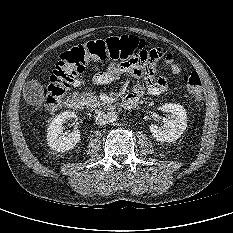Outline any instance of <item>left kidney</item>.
Here are the masks:
<instances>
[{
  "label": "left kidney",
  "mask_w": 233,
  "mask_h": 233,
  "mask_svg": "<svg viewBox=\"0 0 233 233\" xmlns=\"http://www.w3.org/2000/svg\"><path fill=\"white\" fill-rule=\"evenodd\" d=\"M160 109L170 115L162 119L161 127L156 124L150 125V132L158 141L173 142L181 137L187 127L186 110L183 106L173 103H166Z\"/></svg>",
  "instance_id": "1"
}]
</instances>
